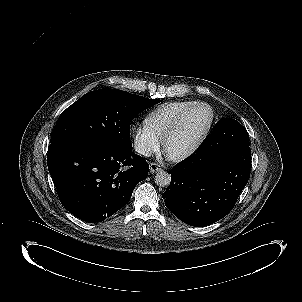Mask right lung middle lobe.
Wrapping results in <instances>:
<instances>
[{
	"label": "right lung middle lobe",
	"instance_id": "obj_1",
	"mask_svg": "<svg viewBox=\"0 0 302 302\" xmlns=\"http://www.w3.org/2000/svg\"><path fill=\"white\" fill-rule=\"evenodd\" d=\"M159 102V99H147L117 89L88 92L59 116L50 143L99 139L120 147L132 148V119Z\"/></svg>",
	"mask_w": 302,
	"mask_h": 302
}]
</instances>
